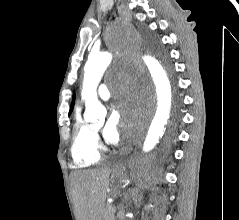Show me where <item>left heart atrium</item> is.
Returning a JSON list of instances; mask_svg holds the SVG:
<instances>
[{
  "label": "left heart atrium",
  "instance_id": "left-heart-atrium-1",
  "mask_svg": "<svg viewBox=\"0 0 239 220\" xmlns=\"http://www.w3.org/2000/svg\"><path fill=\"white\" fill-rule=\"evenodd\" d=\"M130 112V103L126 95L120 94L117 97L115 105L112 107L108 120L103 128V138L106 142L114 144L120 139V130H126L131 134L133 128L139 124L136 116L129 119H123V115Z\"/></svg>",
  "mask_w": 239,
  "mask_h": 220
}]
</instances>
